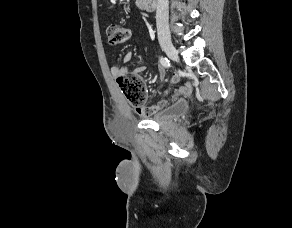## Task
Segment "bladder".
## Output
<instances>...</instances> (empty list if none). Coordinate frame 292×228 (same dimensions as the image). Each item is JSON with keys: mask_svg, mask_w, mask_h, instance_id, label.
<instances>
[{"mask_svg": "<svg viewBox=\"0 0 292 228\" xmlns=\"http://www.w3.org/2000/svg\"><path fill=\"white\" fill-rule=\"evenodd\" d=\"M188 112V104L185 101H179L171 106L166 112L155 115L152 120L162 123L171 120H177Z\"/></svg>", "mask_w": 292, "mask_h": 228, "instance_id": "obj_1", "label": "bladder"}]
</instances>
